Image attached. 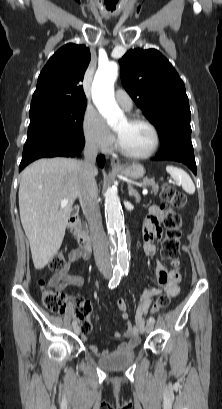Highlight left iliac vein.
Segmentation results:
<instances>
[{"label":"left iliac vein","mask_w":222,"mask_h":409,"mask_svg":"<svg viewBox=\"0 0 222 409\" xmlns=\"http://www.w3.org/2000/svg\"><path fill=\"white\" fill-rule=\"evenodd\" d=\"M153 329H154V324L151 323V322H148V323L146 324V332H147V333H150Z\"/></svg>","instance_id":"obj_1"}]
</instances>
